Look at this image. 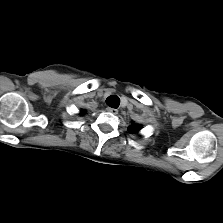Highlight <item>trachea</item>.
I'll return each instance as SVG.
<instances>
[{
  "label": "trachea",
  "instance_id": "3493384b",
  "mask_svg": "<svg viewBox=\"0 0 223 223\" xmlns=\"http://www.w3.org/2000/svg\"><path fill=\"white\" fill-rule=\"evenodd\" d=\"M106 104L112 108H118L120 105V99L116 95H111L106 99Z\"/></svg>",
  "mask_w": 223,
  "mask_h": 223
}]
</instances>
